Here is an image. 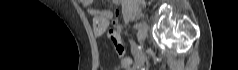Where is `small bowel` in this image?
I'll return each instance as SVG.
<instances>
[{
  "instance_id": "small-bowel-1",
  "label": "small bowel",
  "mask_w": 238,
  "mask_h": 70,
  "mask_svg": "<svg viewBox=\"0 0 238 70\" xmlns=\"http://www.w3.org/2000/svg\"><path fill=\"white\" fill-rule=\"evenodd\" d=\"M84 10L93 17V29L96 35L103 34L108 26L110 21L113 19L114 14L109 10L99 11L93 7L92 0H80ZM118 2V1H115ZM118 15V12H117ZM116 28L121 30V26L116 23ZM118 33V32H117Z\"/></svg>"
}]
</instances>
